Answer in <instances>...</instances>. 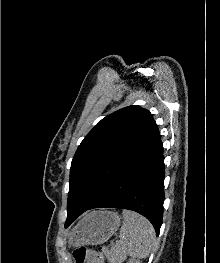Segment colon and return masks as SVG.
Instances as JSON below:
<instances>
[{
    "mask_svg": "<svg viewBox=\"0 0 220 263\" xmlns=\"http://www.w3.org/2000/svg\"><path fill=\"white\" fill-rule=\"evenodd\" d=\"M73 259L75 263H88L89 261H93V263H105L102 254L85 247L75 249Z\"/></svg>",
    "mask_w": 220,
    "mask_h": 263,
    "instance_id": "5ec220e1",
    "label": "colon"
}]
</instances>
